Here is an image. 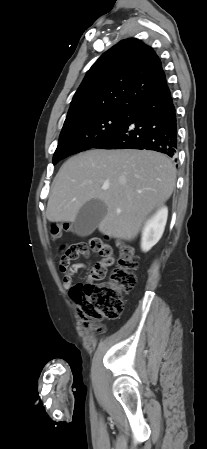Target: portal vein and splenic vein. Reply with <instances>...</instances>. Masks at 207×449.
<instances>
[{"mask_svg":"<svg viewBox=\"0 0 207 449\" xmlns=\"http://www.w3.org/2000/svg\"><path fill=\"white\" fill-rule=\"evenodd\" d=\"M108 187H109V185H108V183H106V184H104V185L102 186V189H103V190H107Z\"/></svg>","mask_w":207,"mask_h":449,"instance_id":"18ae733b","label":"portal vein and splenic vein"}]
</instances>
